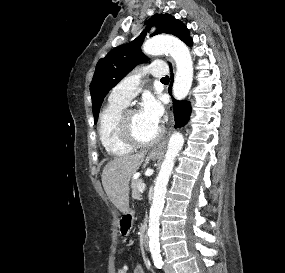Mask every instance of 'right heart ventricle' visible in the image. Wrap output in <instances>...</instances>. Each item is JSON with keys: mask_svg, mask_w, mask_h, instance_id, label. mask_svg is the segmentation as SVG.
Segmentation results:
<instances>
[{"mask_svg": "<svg viewBox=\"0 0 285 273\" xmlns=\"http://www.w3.org/2000/svg\"><path fill=\"white\" fill-rule=\"evenodd\" d=\"M127 104L113 102L108 104L100 113L98 123L99 140L103 148L111 155L124 156L129 154L133 148L125 144L118 134V120L121 112Z\"/></svg>", "mask_w": 285, "mask_h": 273, "instance_id": "1", "label": "right heart ventricle"}]
</instances>
